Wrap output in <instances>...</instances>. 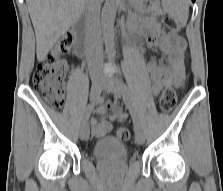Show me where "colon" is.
Masks as SVG:
<instances>
[{
  "label": "colon",
  "mask_w": 223,
  "mask_h": 191,
  "mask_svg": "<svg viewBox=\"0 0 223 191\" xmlns=\"http://www.w3.org/2000/svg\"><path fill=\"white\" fill-rule=\"evenodd\" d=\"M165 27L172 32H179L180 26L171 17L164 18ZM74 37L67 34L62 37L54 51L41 64H39L32 76L35 92L53 108L59 109L64 104L63 80L67 72V63L59 57L61 53L71 50ZM177 96L174 88L166 87L160 98L159 107L162 112L169 113L176 106ZM116 135L122 141L129 140L131 133L127 128H119Z\"/></svg>",
  "instance_id": "colon-1"
}]
</instances>
